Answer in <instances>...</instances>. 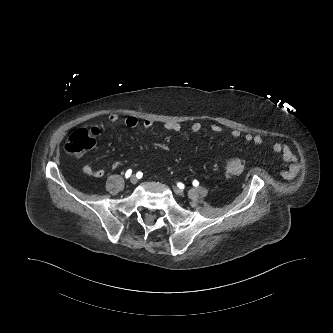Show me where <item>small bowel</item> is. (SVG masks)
Masks as SVG:
<instances>
[{
	"label": "small bowel",
	"instance_id": "c3829d8e",
	"mask_svg": "<svg viewBox=\"0 0 333 333\" xmlns=\"http://www.w3.org/2000/svg\"><path fill=\"white\" fill-rule=\"evenodd\" d=\"M108 119L111 123H117L119 121L120 117L118 114L114 113V114H111L108 117ZM124 124L128 128H135L139 124H141L142 127L145 129H150L154 125L153 121L150 119H145L142 122H140V120L135 116L127 117L124 120ZM181 128H182L181 124H179L177 122H166L164 124V129L168 132H179L181 130ZM201 129H202V123L200 121H195L191 125V128H190L192 133H198ZM211 131L215 134H219V133L223 132V128L218 124H213L211 126ZM231 136L233 138H239L241 136V131L238 129H234L231 131ZM244 139L246 142H252L256 145H262L264 143V140L261 136L253 135L250 133L245 134ZM272 149L275 153L281 155L282 160L284 161V163L287 167L286 170L284 171V174L288 177L294 175L298 171L299 164H298V159H297L296 155L292 152L290 147L285 143L276 142L273 144ZM82 171L86 175H88L90 177H94V178H101L105 175L104 169L93 168L89 164H83Z\"/></svg>",
	"mask_w": 333,
	"mask_h": 333
}]
</instances>
